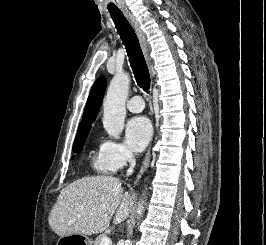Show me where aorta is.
<instances>
[{
	"mask_svg": "<svg viewBox=\"0 0 266 245\" xmlns=\"http://www.w3.org/2000/svg\"><path fill=\"white\" fill-rule=\"evenodd\" d=\"M129 84L130 76L128 72H116L104 98L102 123L105 131H107L110 137H114V139H119V135L124 129L126 116L125 100L128 96ZM144 199L145 197L142 195L136 211L137 219H141L145 211ZM129 245H132L131 241Z\"/></svg>",
	"mask_w": 266,
	"mask_h": 245,
	"instance_id": "1",
	"label": "aorta"
}]
</instances>
